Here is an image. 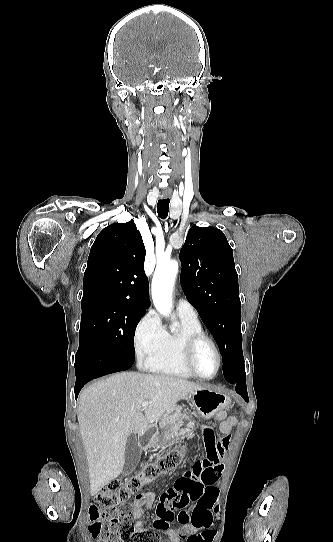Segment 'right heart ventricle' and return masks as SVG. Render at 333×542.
<instances>
[{"label": "right heart ventricle", "mask_w": 333, "mask_h": 542, "mask_svg": "<svg viewBox=\"0 0 333 542\" xmlns=\"http://www.w3.org/2000/svg\"><path fill=\"white\" fill-rule=\"evenodd\" d=\"M180 328L165 330L163 340L156 346L144 348L138 352V364L146 371L163 373L178 378L189 379L192 375L182 361L184 341L193 335L203 334L199 320H192L178 315Z\"/></svg>", "instance_id": "1"}]
</instances>
